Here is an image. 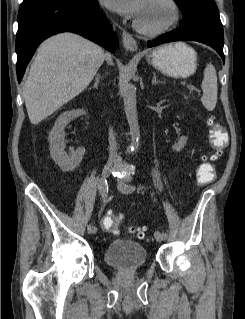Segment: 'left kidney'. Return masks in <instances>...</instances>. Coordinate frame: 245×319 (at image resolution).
Wrapping results in <instances>:
<instances>
[{"label": "left kidney", "mask_w": 245, "mask_h": 319, "mask_svg": "<svg viewBox=\"0 0 245 319\" xmlns=\"http://www.w3.org/2000/svg\"><path fill=\"white\" fill-rule=\"evenodd\" d=\"M186 143H187V138L184 136L181 137L179 139V141L173 146V150L178 151V152L181 151L184 148V146L186 145Z\"/></svg>", "instance_id": "left-kidney-1"}]
</instances>
